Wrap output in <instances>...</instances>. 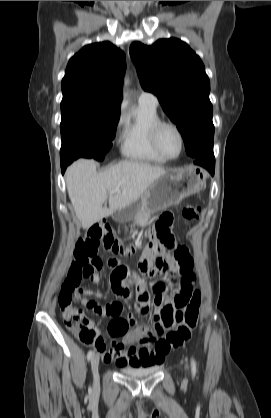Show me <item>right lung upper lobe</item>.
I'll use <instances>...</instances> for the list:
<instances>
[{
    "mask_svg": "<svg viewBox=\"0 0 271 418\" xmlns=\"http://www.w3.org/2000/svg\"><path fill=\"white\" fill-rule=\"evenodd\" d=\"M125 59L123 51L107 41L85 46L67 65L61 104L120 108Z\"/></svg>",
    "mask_w": 271,
    "mask_h": 418,
    "instance_id": "right-lung-upper-lobe-1",
    "label": "right lung upper lobe"
}]
</instances>
